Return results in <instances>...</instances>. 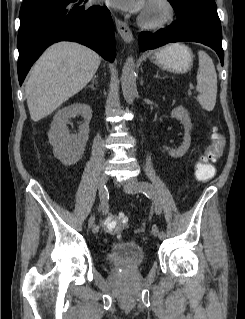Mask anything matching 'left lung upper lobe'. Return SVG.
<instances>
[{
	"mask_svg": "<svg viewBox=\"0 0 245 319\" xmlns=\"http://www.w3.org/2000/svg\"><path fill=\"white\" fill-rule=\"evenodd\" d=\"M176 15L198 12L219 20L214 0H168Z\"/></svg>",
	"mask_w": 245,
	"mask_h": 319,
	"instance_id": "1",
	"label": "left lung upper lobe"
}]
</instances>
